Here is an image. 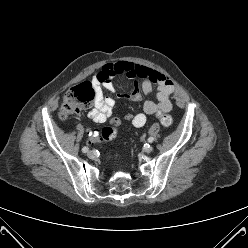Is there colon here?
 <instances>
[{
	"instance_id": "1",
	"label": "colon",
	"mask_w": 248,
	"mask_h": 248,
	"mask_svg": "<svg viewBox=\"0 0 248 248\" xmlns=\"http://www.w3.org/2000/svg\"><path fill=\"white\" fill-rule=\"evenodd\" d=\"M97 91L94 85L88 81L81 82L73 86L64 96L61 110L60 118L67 119L73 114L80 113L86 106L90 105L96 98ZM122 101H125V98H122ZM123 119L126 122L134 121V114L131 111L123 112ZM160 122L164 126H170L173 122V118L164 113L158 114ZM120 125L119 118H113L111 120V126L105 127L100 133L97 129H92L87 134V139L91 143H104L105 141L109 142L113 140V137L116 134V128Z\"/></svg>"
}]
</instances>
